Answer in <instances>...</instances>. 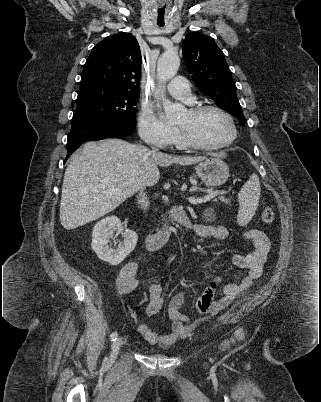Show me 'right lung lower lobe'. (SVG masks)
I'll list each match as a JSON object with an SVG mask.
<instances>
[{
  "instance_id": "right-lung-lower-lobe-1",
  "label": "right lung lower lobe",
  "mask_w": 321,
  "mask_h": 402,
  "mask_svg": "<svg viewBox=\"0 0 321 402\" xmlns=\"http://www.w3.org/2000/svg\"><path fill=\"white\" fill-rule=\"evenodd\" d=\"M135 129V123L126 121L95 119L73 121L67 139V156L64 162L86 141L125 137L130 135Z\"/></svg>"
}]
</instances>
